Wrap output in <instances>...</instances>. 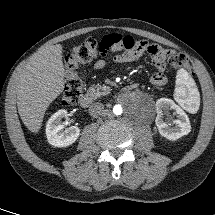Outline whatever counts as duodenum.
<instances>
[{"mask_svg": "<svg viewBox=\"0 0 215 215\" xmlns=\"http://www.w3.org/2000/svg\"><path fill=\"white\" fill-rule=\"evenodd\" d=\"M135 87L136 86L134 84L127 86L124 90V93L130 92L131 90L135 89ZM93 101L94 97L91 94H85L80 100V105L83 108H87L93 103Z\"/></svg>", "mask_w": 215, "mask_h": 215, "instance_id": "410a0bca", "label": "duodenum"}]
</instances>
